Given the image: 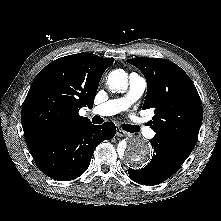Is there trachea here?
<instances>
[{
	"label": "trachea",
	"instance_id": "1",
	"mask_svg": "<svg viewBox=\"0 0 221 221\" xmlns=\"http://www.w3.org/2000/svg\"><path fill=\"white\" fill-rule=\"evenodd\" d=\"M92 122H93L94 124H101V123L103 122V119H102L101 117H99V116H94V117L92 118ZM124 128H125V130L128 131V132H136V131L138 130V128H137L136 126H134V125H128V124L125 125Z\"/></svg>",
	"mask_w": 221,
	"mask_h": 221
}]
</instances>
